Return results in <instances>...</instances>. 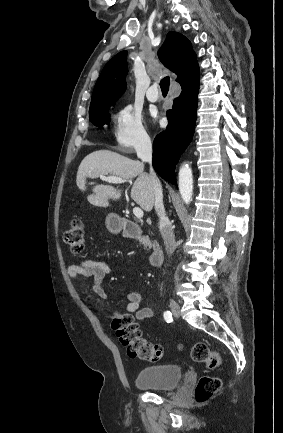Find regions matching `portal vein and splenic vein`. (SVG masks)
<instances>
[{"label":"portal vein and splenic vein","instance_id":"1","mask_svg":"<svg viewBox=\"0 0 283 433\" xmlns=\"http://www.w3.org/2000/svg\"><path fill=\"white\" fill-rule=\"evenodd\" d=\"M99 176L102 180H106V182H126L125 178H119V176H104V174H99ZM133 212L137 219H142L144 212L141 208L134 206Z\"/></svg>","mask_w":283,"mask_h":433}]
</instances>
